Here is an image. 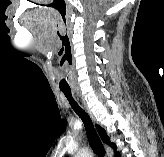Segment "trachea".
Instances as JSON below:
<instances>
[{
    "label": "trachea",
    "mask_w": 164,
    "mask_h": 157,
    "mask_svg": "<svg viewBox=\"0 0 164 157\" xmlns=\"http://www.w3.org/2000/svg\"><path fill=\"white\" fill-rule=\"evenodd\" d=\"M61 91L64 93V95L67 97L71 107L76 112V114L81 118V120L84 123L86 134L88 141L90 143V146L92 147L93 151L99 156L104 157L105 156V150L103 147V144L92 124V121L88 114L81 108L79 105L75 102V100L72 97L71 90L70 89H61Z\"/></svg>",
    "instance_id": "trachea-1"
}]
</instances>
